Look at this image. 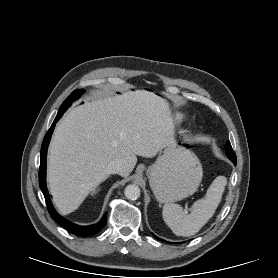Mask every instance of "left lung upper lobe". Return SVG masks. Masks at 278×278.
I'll return each instance as SVG.
<instances>
[{
	"label": "left lung upper lobe",
	"mask_w": 278,
	"mask_h": 278,
	"mask_svg": "<svg viewBox=\"0 0 278 278\" xmlns=\"http://www.w3.org/2000/svg\"><path fill=\"white\" fill-rule=\"evenodd\" d=\"M225 151H226V154H227V156L229 157L230 160H235L236 161V155H235L229 141L227 142V144L225 146Z\"/></svg>",
	"instance_id": "obj_1"
}]
</instances>
